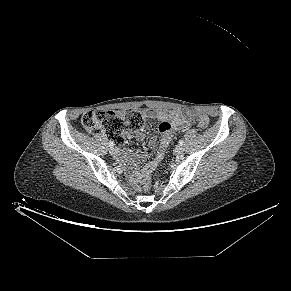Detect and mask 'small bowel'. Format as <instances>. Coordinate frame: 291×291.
I'll return each instance as SVG.
<instances>
[{
    "mask_svg": "<svg viewBox=\"0 0 291 291\" xmlns=\"http://www.w3.org/2000/svg\"><path fill=\"white\" fill-rule=\"evenodd\" d=\"M148 117L157 119L159 124V132L161 134V139L159 143V148L156 151L152 160L145 166L151 167L154 169L157 164L162 160L165 150L169 146L171 139H172V132L174 130H179L186 127L189 124V120L180 112L178 111H169V110H156V111H149ZM136 137L139 140L144 138V132L139 130L136 133ZM158 144L157 138H152L150 141V145L152 147H156ZM143 157H138L137 161H143ZM144 168V169H145Z\"/></svg>",
    "mask_w": 291,
    "mask_h": 291,
    "instance_id": "small-bowel-1",
    "label": "small bowel"
}]
</instances>
